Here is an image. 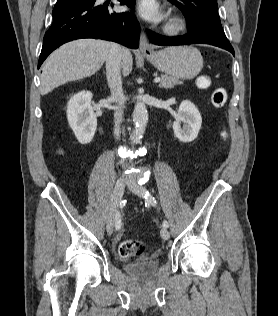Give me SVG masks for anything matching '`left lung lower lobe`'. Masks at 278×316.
<instances>
[{
	"instance_id": "left-lung-lower-lobe-1",
	"label": "left lung lower lobe",
	"mask_w": 278,
	"mask_h": 316,
	"mask_svg": "<svg viewBox=\"0 0 278 316\" xmlns=\"http://www.w3.org/2000/svg\"><path fill=\"white\" fill-rule=\"evenodd\" d=\"M148 37L151 43L156 44V45H188V44H200V43L210 44V45H214V46L226 49L227 51L235 55L234 49L232 48L229 42H224V41L216 40V39L201 36V35L188 33L183 36L165 37V36L156 34L152 31H149Z\"/></svg>"
}]
</instances>
